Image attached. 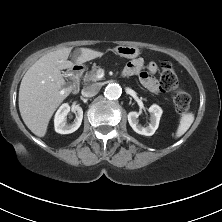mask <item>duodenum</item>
<instances>
[{
	"label": "duodenum",
	"instance_id": "duodenum-1",
	"mask_svg": "<svg viewBox=\"0 0 222 222\" xmlns=\"http://www.w3.org/2000/svg\"><path fill=\"white\" fill-rule=\"evenodd\" d=\"M82 73H83V68L81 66H74L70 72L72 77L71 90L72 93L74 94L78 93L80 89V78Z\"/></svg>",
	"mask_w": 222,
	"mask_h": 222
}]
</instances>
